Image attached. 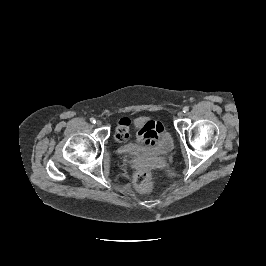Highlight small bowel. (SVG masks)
<instances>
[{
  "instance_id": "c3829d8e",
  "label": "small bowel",
  "mask_w": 266,
  "mask_h": 266,
  "mask_svg": "<svg viewBox=\"0 0 266 266\" xmlns=\"http://www.w3.org/2000/svg\"><path fill=\"white\" fill-rule=\"evenodd\" d=\"M130 120L128 118H122L118 122L115 137L120 142H125L130 138L129 134ZM164 126L157 121L147 120L140 127L137 139L145 146H153L156 143L160 133L164 131ZM154 164V161L150 162Z\"/></svg>"
}]
</instances>
